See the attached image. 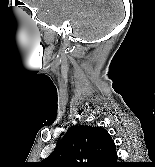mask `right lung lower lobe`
<instances>
[{
	"label": "right lung lower lobe",
	"instance_id": "98d812e1",
	"mask_svg": "<svg viewBox=\"0 0 155 167\" xmlns=\"http://www.w3.org/2000/svg\"><path fill=\"white\" fill-rule=\"evenodd\" d=\"M122 166H125L124 164L122 163H118L117 165H115L114 167H122Z\"/></svg>",
	"mask_w": 155,
	"mask_h": 167
}]
</instances>
